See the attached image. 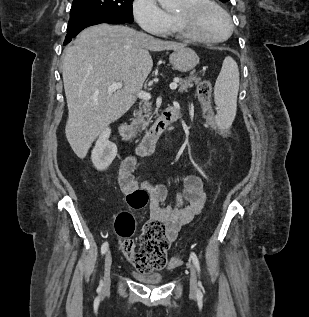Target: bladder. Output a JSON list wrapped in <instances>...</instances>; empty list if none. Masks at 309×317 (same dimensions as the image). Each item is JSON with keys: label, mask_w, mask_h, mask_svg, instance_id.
Segmentation results:
<instances>
[{"label": "bladder", "mask_w": 309, "mask_h": 317, "mask_svg": "<svg viewBox=\"0 0 309 317\" xmlns=\"http://www.w3.org/2000/svg\"><path fill=\"white\" fill-rule=\"evenodd\" d=\"M133 277L144 284H160L163 281V276L160 273H140L137 271L132 272Z\"/></svg>", "instance_id": "31cf9c89"}]
</instances>
